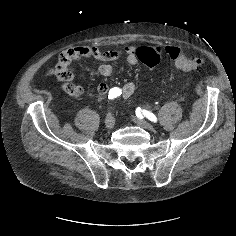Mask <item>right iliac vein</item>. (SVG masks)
<instances>
[{"instance_id": "1", "label": "right iliac vein", "mask_w": 236, "mask_h": 236, "mask_svg": "<svg viewBox=\"0 0 236 236\" xmlns=\"http://www.w3.org/2000/svg\"><path fill=\"white\" fill-rule=\"evenodd\" d=\"M114 124H115V122H114L113 116L111 114H108L105 119V127L107 129H112L114 127Z\"/></svg>"}]
</instances>
